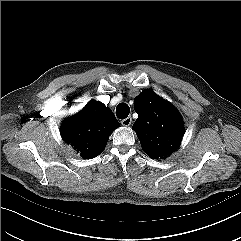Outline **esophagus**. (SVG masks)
Segmentation results:
<instances>
[{
    "label": "esophagus",
    "instance_id": "1",
    "mask_svg": "<svg viewBox=\"0 0 241 241\" xmlns=\"http://www.w3.org/2000/svg\"><path fill=\"white\" fill-rule=\"evenodd\" d=\"M131 123H132V118L129 116V117H127V118H125V119H123V120H121V124L123 125V126H130L131 125Z\"/></svg>",
    "mask_w": 241,
    "mask_h": 241
}]
</instances>
